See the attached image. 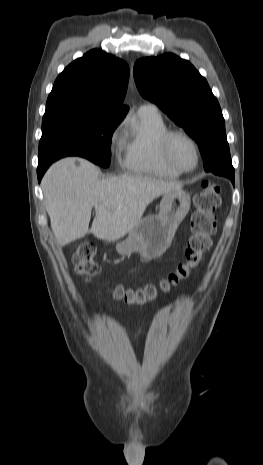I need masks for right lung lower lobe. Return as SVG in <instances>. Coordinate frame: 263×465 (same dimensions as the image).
<instances>
[{"instance_id": "right-lung-lower-lobe-1", "label": "right lung lower lobe", "mask_w": 263, "mask_h": 465, "mask_svg": "<svg viewBox=\"0 0 263 465\" xmlns=\"http://www.w3.org/2000/svg\"><path fill=\"white\" fill-rule=\"evenodd\" d=\"M47 168L48 167H40V166H38L37 175H38L39 182H40V180H41V178H42V176H43V174H44V172L46 171Z\"/></svg>"}]
</instances>
